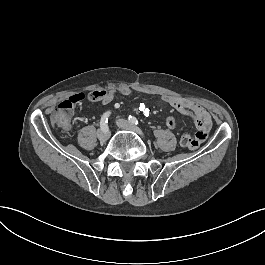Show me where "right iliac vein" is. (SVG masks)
I'll use <instances>...</instances> for the list:
<instances>
[{
  "mask_svg": "<svg viewBox=\"0 0 265 265\" xmlns=\"http://www.w3.org/2000/svg\"><path fill=\"white\" fill-rule=\"evenodd\" d=\"M97 136H98V139L101 141V142H105L109 139L110 137V132H109V129L103 131V130H99L98 133H97Z\"/></svg>",
  "mask_w": 265,
  "mask_h": 265,
  "instance_id": "right-iliac-vein-1",
  "label": "right iliac vein"
}]
</instances>
